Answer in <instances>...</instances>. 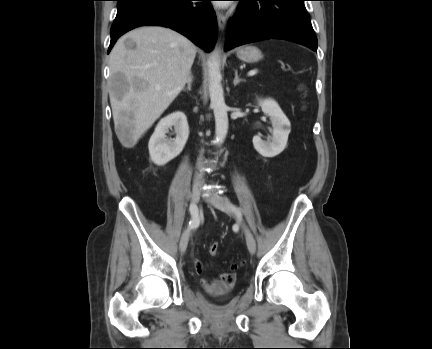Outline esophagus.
Returning a JSON list of instances; mask_svg holds the SVG:
<instances>
[{"label":"esophagus","instance_id":"34e87169","mask_svg":"<svg viewBox=\"0 0 432 349\" xmlns=\"http://www.w3.org/2000/svg\"><path fill=\"white\" fill-rule=\"evenodd\" d=\"M216 16H217L219 30L223 32L226 26L227 17L219 9H216Z\"/></svg>","mask_w":432,"mask_h":349}]
</instances>
